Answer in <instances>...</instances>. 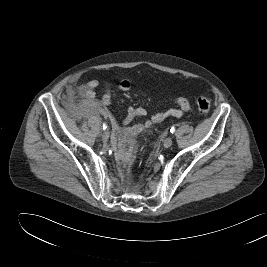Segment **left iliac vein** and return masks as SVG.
Masks as SVG:
<instances>
[{"label":"left iliac vein","mask_w":267,"mask_h":267,"mask_svg":"<svg viewBox=\"0 0 267 267\" xmlns=\"http://www.w3.org/2000/svg\"><path fill=\"white\" fill-rule=\"evenodd\" d=\"M163 145L165 148H169L172 145V138L171 137H167L164 142Z\"/></svg>","instance_id":"1"}]
</instances>
